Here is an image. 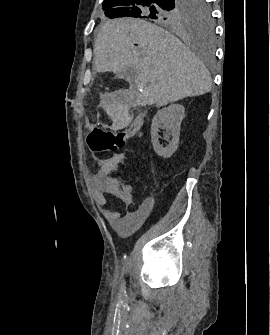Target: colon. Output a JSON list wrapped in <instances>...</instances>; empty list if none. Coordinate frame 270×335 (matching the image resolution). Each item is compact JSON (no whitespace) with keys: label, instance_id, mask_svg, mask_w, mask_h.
Wrapping results in <instances>:
<instances>
[{"label":"colon","instance_id":"5ec220e1","mask_svg":"<svg viewBox=\"0 0 270 335\" xmlns=\"http://www.w3.org/2000/svg\"><path fill=\"white\" fill-rule=\"evenodd\" d=\"M133 135L134 131L131 127L116 132L93 128L87 135V144L93 154L101 155L124 147L126 141Z\"/></svg>","mask_w":270,"mask_h":335}]
</instances>
